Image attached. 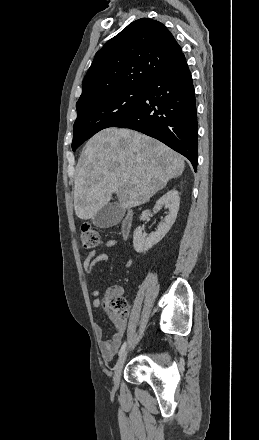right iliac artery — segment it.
<instances>
[{"instance_id":"82829eb1","label":"right iliac artery","mask_w":259,"mask_h":440,"mask_svg":"<svg viewBox=\"0 0 259 440\" xmlns=\"http://www.w3.org/2000/svg\"><path fill=\"white\" fill-rule=\"evenodd\" d=\"M126 345H127V342H124L123 345L121 346V349L119 351V356L125 351Z\"/></svg>"}]
</instances>
